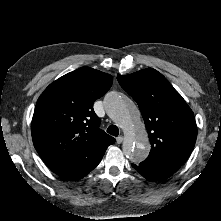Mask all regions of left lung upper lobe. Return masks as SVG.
<instances>
[{
    "label": "left lung upper lobe",
    "instance_id": "left-lung-upper-lobe-1",
    "mask_svg": "<svg viewBox=\"0 0 221 221\" xmlns=\"http://www.w3.org/2000/svg\"><path fill=\"white\" fill-rule=\"evenodd\" d=\"M121 87L137 102L151 143L140 163L175 173L194 148V114L168 80L152 68L117 75Z\"/></svg>",
    "mask_w": 221,
    "mask_h": 221
}]
</instances>
